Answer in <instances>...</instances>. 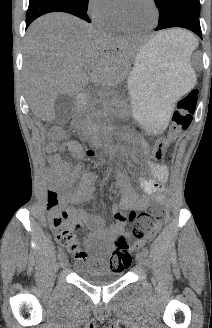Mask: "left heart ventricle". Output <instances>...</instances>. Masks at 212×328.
Masks as SVG:
<instances>
[{
    "mask_svg": "<svg viewBox=\"0 0 212 328\" xmlns=\"http://www.w3.org/2000/svg\"><path fill=\"white\" fill-rule=\"evenodd\" d=\"M120 9L127 23L133 27L149 26L155 18L148 0H121Z\"/></svg>",
    "mask_w": 212,
    "mask_h": 328,
    "instance_id": "1",
    "label": "left heart ventricle"
}]
</instances>
